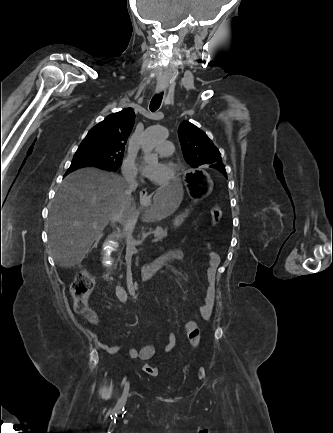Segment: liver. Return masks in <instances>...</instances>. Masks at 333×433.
<instances>
[{
  "instance_id": "6515ba94",
  "label": "liver",
  "mask_w": 333,
  "mask_h": 433,
  "mask_svg": "<svg viewBox=\"0 0 333 433\" xmlns=\"http://www.w3.org/2000/svg\"><path fill=\"white\" fill-rule=\"evenodd\" d=\"M184 183H162L142 220L158 222L179 208ZM122 177L89 167L67 175L49 206V242L55 262L64 268L80 264L112 216L123 221L132 205V192Z\"/></svg>"
}]
</instances>
